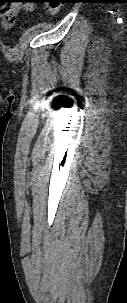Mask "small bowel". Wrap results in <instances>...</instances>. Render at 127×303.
I'll use <instances>...</instances> for the list:
<instances>
[{
	"mask_svg": "<svg viewBox=\"0 0 127 303\" xmlns=\"http://www.w3.org/2000/svg\"><path fill=\"white\" fill-rule=\"evenodd\" d=\"M32 8L33 6L31 4H26L23 6L20 4L10 5L8 10L5 12L3 16V25L5 27L11 26L14 22V18L17 16V14L21 9H25L28 11V10H32Z\"/></svg>",
	"mask_w": 127,
	"mask_h": 303,
	"instance_id": "c3829d8e",
	"label": "small bowel"
}]
</instances>
